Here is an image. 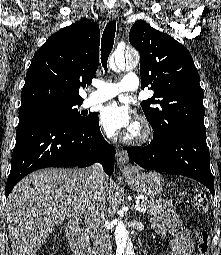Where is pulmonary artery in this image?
<instances>
[{"label":"pulmonary artery","instance_id":"pulmonary-artery-1","mask_svg":"<svg viewBox=\"0 0 221 255\" xmlns=\"http://www.w3.org/2000/svg\"><path fill=\"white\" fill-rule=\"evenodd\" d=\"M138 76L134 73L125 74L119 83H109L104 81H97L94 86L96 91L91 93L85 100L86 106H92L109 100L119 93L134 91L138 86Z\"/></svg>","mask_w":221,"mask_h":255}]
</instances>
